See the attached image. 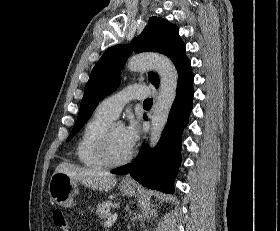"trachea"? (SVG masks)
I'll use <instances>...</instances> for the list:
<instances>
[{"mask_svg": "<svg viewBox=\"0 0 280 231\" xmlns=\"http://www.w3.org/2000/svg\"><path fill=\"white\" fill-rule=\"evenodd\" d=\"M153 100L152 98H147L143 103V108L150 109L152 106Z\"/></svg>", "mask_w": 280, "mask_h": 231, "instance_id": "trachea-1", "label": "trachea"}]
</instances>
